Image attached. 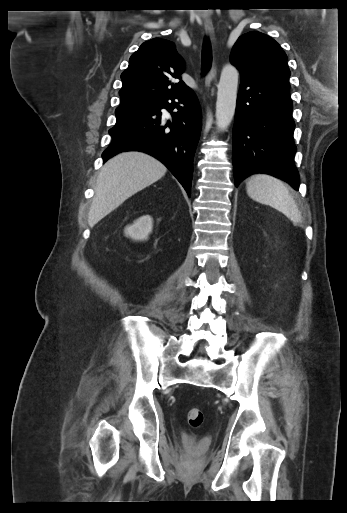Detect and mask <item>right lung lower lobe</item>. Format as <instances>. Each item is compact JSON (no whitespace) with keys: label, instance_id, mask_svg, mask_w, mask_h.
<instances>
[{"label":"right lung lower lobe","instance_id":"obj_1","mask_svg":"<svg viewBox=\"0 0 347 513\" xmlns=\"http://www.w3.org/2000/svg\"><path fill=\"white\" fill-rule=\"evenodd\" d=\"M162 108L172 114L170 121L161 116ZM200 131V105L189 89L157 103L116 113V124L109 130L112 142L102 154L103 161L123 151L150 154L166 165L190 196Z\"/></svg>","mask_w":347,"mask_h":513}]
</instances>
